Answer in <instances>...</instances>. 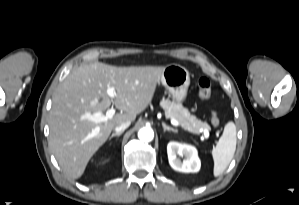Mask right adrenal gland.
I'll use <instances>...</instances> for the list:
<instances>
[{"mask_svg":"<svg viewBox=\"0 0 299 205\" xmlns=\"http://www.w3.org/2000/svg\"><path fill=\"white\" fill-rule=\"evenodd\" d=\"M123 132H119V133H113L110 137H109V140H111L113 137H115V136H121V134H122Z\"/></svg>","mask_w":299,"mask_h":205,"instance_id":"right-adrenal-gland-1","label":"right adrenal gland"}]
</instances>
